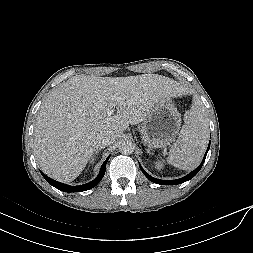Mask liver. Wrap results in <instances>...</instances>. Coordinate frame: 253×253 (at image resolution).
I'll use <instances>...</instances> for the list:
<instances>
[{
    "label": "liver",
    "mask_w": 253,
    "mask_h": 253,
    "mask_svg": "<svg viewBox=\"0 0 253 253\" xmlns=\"http://www.w3.org/2000/svg\"><path fill=\"white\" fill-rule=\"evenodd\" d=\"M184 91L178 82L158 74L70 78L50 94L38 113L34 153L39 167L59 181L76 179L100 146V132L118 138L160 102ZM115 107L117 114L108 115Z\"/></svg>",
    "instance_id": "6515ba94"
}]
</instances>
